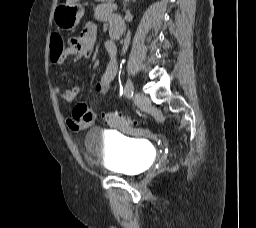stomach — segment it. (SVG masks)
Here are the masks:
<instances>
[{
  "label": "stomach",
  "mask_w": 256,
  "mask_h": 228,
  "mask_svg": "<svg viewBox=\"0 0 256 228\" xmlns=\"http://www.w3.org/2000/svg\"><path fill=\"white\" fill-rule=\"evenodd\" d=\"M84 14L82 5L75 2L58 6L53 12V20L58 28L72 30L80 22Z\"/></svg>",
  "instance_id": "0dacf381"
}]
</instances>
